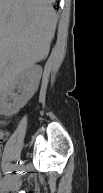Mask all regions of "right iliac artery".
<instances>
[{
    "instance_id": "right-iliac-artery-1",
    "label": "right iliac artery",
    "mask_w": 103,
    "mask_h": 193,
    "mask_svg": "<svg viewBox=\"0 0 103 193\" xmlns=\"http://www.w3.org/2000/svg\"><path fill=\"white\" fill-rule=\"evenodd\" d=\"M8 173H11V172H8ZM10 177H11V174H8V175L6 176V180L9 181V180H10Z\"/></svg>"
}]
</instances>
